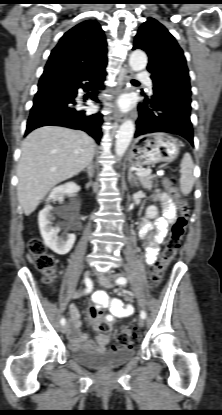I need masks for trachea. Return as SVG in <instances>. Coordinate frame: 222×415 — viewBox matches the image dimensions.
Listing matches in <instances>:
<instances>
[{
	"label": "trachea",
	"mask_w": 222,
	"mask_h": 415,
	"mask_svg": "<svg viewBox=\"0 0 222 415\" xmlns=\"http://www.w3.org/2000/svg\"><path fill=\"white\" fill-rule=\"evenodd\" d=\"M132 82H138V81L133 79Z\"/></svg>",
	"instance_id": "trachea-1"
}]
</instances>
